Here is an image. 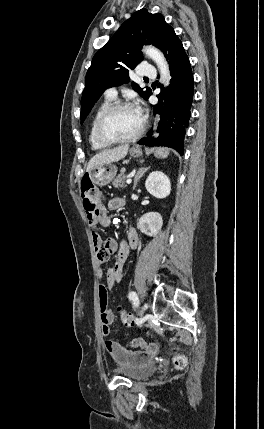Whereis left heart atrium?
Instances as JSON below:
<instances>
[{
    "mask_svg": "<svg viewBox=\"0 0 264 429\" xmlns=\"http://www.w3.org/2000/svg\"><path fill=\"white\" fill-rule=\"evenodd\" d=\"M136 111L141 116V110L140 109H136Z\"/></svg>",
    "mask_w": 264,
    "mask_h": 429,
    "instance_id": "left-heart-atrium-1",
    "label": "left heart atrium"
}]
</instances>
